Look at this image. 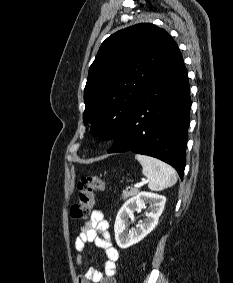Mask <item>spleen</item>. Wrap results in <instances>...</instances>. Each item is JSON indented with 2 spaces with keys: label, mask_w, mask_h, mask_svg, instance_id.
I'll return each instance as SVG.
<instances>
[{
  "label": "spleen",
  "mask_w": 233,
  "mask_h": 283,
  "mask_svg": "<svg viewBox=\"0 0 233 283\" xmlns=\"http://www.w3.org/2000/svg\"><path fill=\"white\" fill-rule=\"evenodd\" d=\"M135 158L142 166V173L148 178V188L160 191L177 182L175 170L168 164L150 156L136 154Z\"/></svg>",
  "instance_id": "3e777b00"
}]
</instances>
